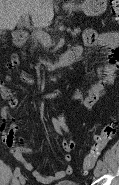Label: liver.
<instances>
[{
    "label": "liver",
    "mask_w": 119,
    "mask_h": 185,
    "mask_svg": "<svg viewBox=\"0 0 119 185\" xmlns=\"http://www.w3.org/2000/svg\"><path fill=\"white\" fill-rule=\"evenodd\" d=\"M24 15H31L35 27H48L54 17L52 0H0V30H14Z\"/></svg>",
    "instance_id": "6515ba94"
}]
</instances>
